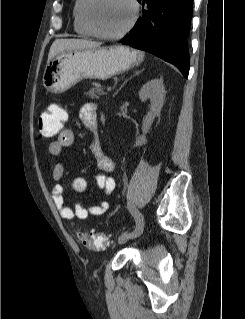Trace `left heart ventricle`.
Returning <instances> with one entry per match:
<instances>
[{"instance_id": "1", "label": "left heart ventricle", "mask_w": 245, "mask_h": 319, "mask_svg": "<svg viewBox=\"0 0 245 319\" xmlns=\"http://www.w3.org/2000/svg\"><path fill=\"white\" fill-rule=\"evenodd\" d=\"M91 17L101 31L116 33L130 21L132 7L128 0H96L91 8Z\"/></svg>"}]
</instances>
